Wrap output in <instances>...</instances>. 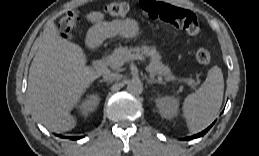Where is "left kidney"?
Listing matches in <instances>:
<instances>
[{
	"label": "left kidney",
	"instance_id": "1",
	"mask_svg": "<svg viewBox=\"0 0 259 156\" xmlns=\"http://www.w3.org/2000/svg\"><path fill=\"white\" fill-rule=\"evenodd\" d=\"M156 107L160 115L166 119H172L178 114L179 99L175 96H159L156 100Z\"/></svg>",
	"mask_w": 259,
	"mask_h": 156
}]
</instances>
